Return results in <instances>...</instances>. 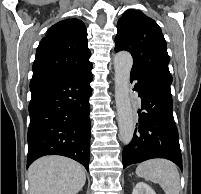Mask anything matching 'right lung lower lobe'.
I'll return each instance as SVG.
<instances>
[{"label": "right lung lower lobe", "mask_w": 201, "mask_h": 194, "mask_svg": "<svg viewBox=\"0 0 201 194\" xmlns=\"http://www.w3.org/2000/svg\"><path fill=\"white\" fill-rule=\"evenodd\" d=\"M91 69L73 77H46L30 82L27 167L41 156L62 155L88 171Z\"/></svg>", "instance_id": "1"}]
</instances>
